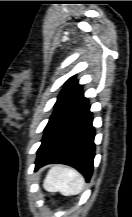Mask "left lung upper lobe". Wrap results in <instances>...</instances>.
I'll return each instance as SVG.
<instances>
[{"mask_svg": "<svg viewBox=\"0 0 132 217\" xmlns=\"http://www.w3.org/2000/svg\"><path fill=\"white\" fill-rule=\"evenodd\" d=\"M80 95H82V86L79 85L78 81H76L74 77H71L67 80L64 89L58 96L57 102L54 106V113L52 114L47 126Z\"/></svg>", "mask_w": 132, "mask_h": 217, "instance_id": "left-lung-upper-lobe-1", "label": "left lung upper lobe"}]
</instances>
